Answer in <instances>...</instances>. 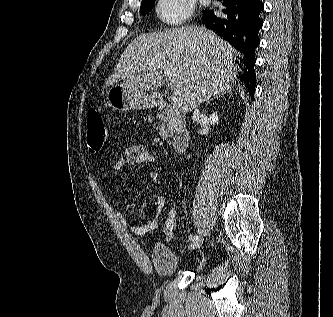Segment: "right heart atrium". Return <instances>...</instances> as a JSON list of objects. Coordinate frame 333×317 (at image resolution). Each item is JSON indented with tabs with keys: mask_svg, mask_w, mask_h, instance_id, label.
Here are the masks:
<instances>
[{
	"mask_svg": "<svg viewBox=\"0 0 333 317\" xmlns=\"http://www.w3.org/2000/svg\"><path fill=\"white\" fill-rule=\"evenodd\" d=\"M194 9V0H157L155 14L162 24L178 27L192 18Z\"/></svg>",
	"mask_w": 333,
	"mask_h": 317,
	"instance_id": "right-heart-atrium-1",
	"label": "right heart atrium"
}]
</instances>
